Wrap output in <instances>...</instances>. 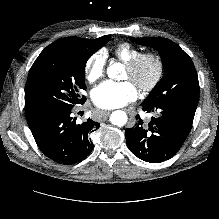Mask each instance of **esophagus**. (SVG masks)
Instances as JSON below:
<instances>
[{"mask_svg": "<svg viewBox=\"0 0 219 219\" xmlns=\"http://www.w3.org/2000/svg\"><path fill=\"white\" fill-rule=\"evenodd\" d=\"M110 113H111V111L110 110H105V111H103L102 112V118H101V120H106L107 118H108V116L110 115Z\"/></svg>", "mask_w": 219, "mask_h": 219, "instance_id": "esophagus-1", "label": "esophagus"}]
</instances>
